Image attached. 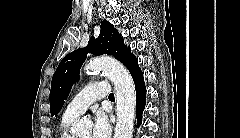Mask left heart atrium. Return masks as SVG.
<instances>
[{
  "instance_id": "1",
  "label": "left heart atrium",
  "mask_w": 240,
  "mask_h": 138,
  "mask_svg": "<svg viewBox=\"0 0 240 138\" xmlns=\"http://www.w3.org/2000/svg\"><path fill=\"white\" fill-rule=\"evenodd\" d=\"M111 134V126L106 115L97 111L94 118V124L92 129L93 138H108Z\"/></svg>"
}]
</instances>
